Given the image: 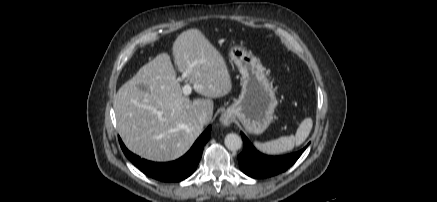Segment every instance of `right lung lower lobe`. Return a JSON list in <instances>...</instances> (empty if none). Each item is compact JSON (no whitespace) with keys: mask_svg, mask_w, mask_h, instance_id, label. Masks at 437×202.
<instances>
[{"mask_svg":"<svg viewBox=\"0 0 437 202\" xmlns=\"http://www.w3.org/2000/svg\"><path fill=\"white\" fill-rule=\"evenodd\" d=\"M210 135L211 126L200 135L184 156L175 161L166 163H157L141 159L139 156L130 152L121 139H119V142L125 156L147 176L163 182H179L189 177L196 170L204 145L209 140Z\"/></svg>","mask_w":437,"mask_h":202,"instance_id":"right-lung-lower-lobe-1","label":"right lung lower lobe"}]
</instances>
